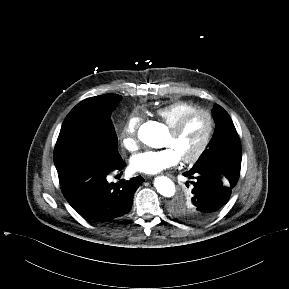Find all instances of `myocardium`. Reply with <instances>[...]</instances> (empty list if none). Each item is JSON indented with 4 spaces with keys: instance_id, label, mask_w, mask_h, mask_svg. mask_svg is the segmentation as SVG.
Masks as SVG:
<instances>
[{
    "instance_id": "f54148a6",
    "label": "myocardium",
    "mask_w": 289,
    "mask_h": 289,
    "mask_svg": "<svg viewBox=\"0 0 289 289\" xmlns=\"http://www.w3.org/2000/svg\"><path fill=\"white\" fill-rule=\"evenodd\" d=\"M199 114H203L207 117L208 120V131L207 134L202 142V144L200 145V147L196 150L195 153H193L192 155L188 156V157H184L181 158V161L183 163H195L196 161H198L206 152V150L208 149L213 134H214V130H215V120L213 115L211 114V112H209L206 109H194L192 111H189L187 113H185L184 115H182L172 126L169 127V132L173 135H177L179 134L182 129L184 128V126L186 125V123L189 121L190 118H192L195 115H199Z\"/></svg>"
}]
</instances>
